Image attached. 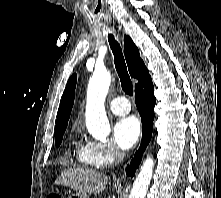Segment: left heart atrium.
Returning <instances> with one entry per match:
<instances>
[{
  "label": "left heart atrium",
  "mask_w": 221,
  "mask_h": 198,
  "mask_svg": "<svg viewBox=\"0 0 221 198\" xmlns=\"http://www.w3.org/2000/svg\"><path fill=\"white\" fill-rule=\"evenodd\" d=\"M140 123L133 117H126L119 120L114 126V139L117 145L124 149H130L135 145L140 136Z\"/></svg>",
  "instance_id": "left-heart-atrium-1"
}]
</instances>
